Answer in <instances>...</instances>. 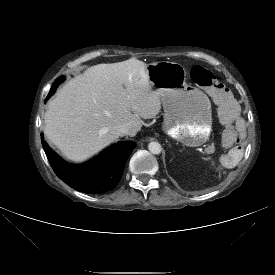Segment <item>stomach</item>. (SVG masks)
<instances>
[{"label": "stomach", "mask_w": 275, "mask_h": 275, "mask_svg": "<svg viewBox=\"0 0 275 275\" xmlns=\"http://www.w3.org/2000/svg\"><path fill=\"white\" fill-rule=\"evenodd\" d=\"M147 75L164 109L162 130L186 146L205 143L212 131V110L207 95L186 83L185 68L175 62L147 65Z\"/></svg>", "instance_id": "obj_1"}]
</instances>
